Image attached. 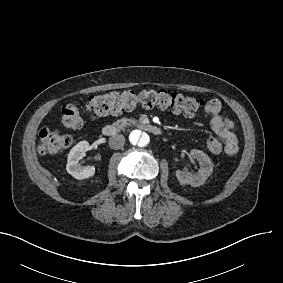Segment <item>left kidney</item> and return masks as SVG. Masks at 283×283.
I'll list each match as a JSON object with an SVG mask.
<instances>
[{
	"mask_svg": "<svg viewBox=\"0 0 283 283\" xmlns=\"http://www.w3.org/2000/svg\"><path fill=\"white\" fill-rule=\"evenodd\" d=\"M190 156L196 158L199 161L200 168L195 175H189L184 170H177L176 177L181 184H189L192 186L202 185L212 173L213 163L211 159L202 151L191 150Z\"/></svg>",
	"mask_w": 283,
	"mask_h": 283,
	"instance_id": "1",
	"label": "left kidney"
}]
</instances>
